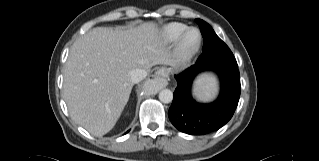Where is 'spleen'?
<instances>
[{"label":"spleen","mask_w":319,"mask_h":161,"mask_svg":"<svg viewBox=\"0 0 319 161\" xmlns=\"http://www.w3.org/2000/svg\"><path fill=\"white\" fill-rule=\"evenodd\" d=\"M216 92V81L212 76H202L196 83L194 88V95L203 101L213 98Z\"/></svg>","instance_id":"1"}]
</instances>
